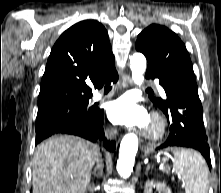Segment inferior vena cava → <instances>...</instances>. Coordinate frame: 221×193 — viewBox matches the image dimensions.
<instances>
[{
	"instance_id": "602c4592",
	"label": "inferior vena cava",
	"mask_w": 221,
	"mask_h": 193,
	"mask_svg": "<svg viewBox=\"0 0 221 193\" xmlns=\"http://www.w3.org/2000/svg\"><path fill=\"white\" fill-rule=\"evenodd\" d=\"M102 167H103L102 161H101V160L97 161V167H96V169L99 170V172H100V170L102 169Z\"/></svg>"
}]
</instances>
